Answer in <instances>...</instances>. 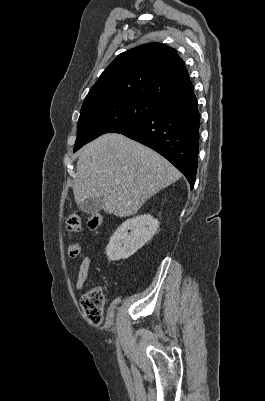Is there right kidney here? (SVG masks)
<instances>
[{"label":"right kidney","instance_id":"obj_1","mask_svg":"<svg viewBox=\"0 0 265 401\" xmlns=\"http://www.w3.org/2000/svg\"><path fill=\"white\" fill-rule=\"evenodd\" d=\"M158 227L159 221L151 215H139V217H132L122 223L121 227H118L117 231L113 233L109 245L106 247L109 261L128 259L134 255L138 249H141L147 241L154 237Z\"/></svg>","mask_w":265,"mask_h":401}]
</instances>
